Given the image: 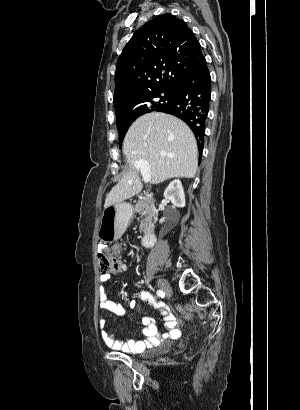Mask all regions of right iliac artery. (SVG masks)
<instances>
[{"mask_svg": "<svg viewBox=\"0 0 300 410\" xmlns=\"http://www.w3.org/2000/svg\"><path fill=\"white\" fill-rule=\"evenodd\" d=\"M157 295L163 298L165 296V293L163 292V290H157Z\"/></svg>", "mask_w": 300, "mask_h": 410, "instance_id": "obj_1", "label": "right iliac artery"}]
</instances>
